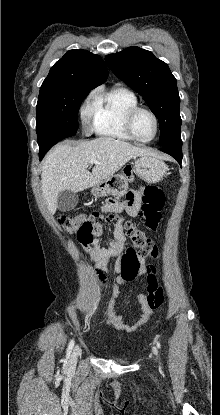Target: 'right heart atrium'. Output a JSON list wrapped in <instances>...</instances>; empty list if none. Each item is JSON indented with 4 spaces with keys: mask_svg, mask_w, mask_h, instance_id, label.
<instances>
[{
    "mask_svg": "<svg viewBox=\"0 0 220 415\" xmlns=\"http://www.w3.org/2000/svg\"><path fill=\"white\" fill-rule=\"evenodd\" d=\"M94 99V98H93ZM81 117L84 123V126L87 127L91 118L93 117V100L90 103H87L81 110Z\"/></svg>",
    "mask_w": 220,
    "mask_h": 415,
    "instance_id": "d8ad5b80",
    "label": "right heart atrium"
}]
</instances>
